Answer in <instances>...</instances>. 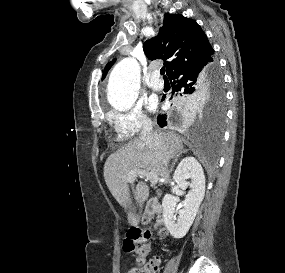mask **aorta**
<instances>
[{"label": "aorta", "instance_id": "762f6f07", "mask_svg": "<svg viewBox=\"0 0 285 273\" xmlns=\"http://www.w3.org/2000/svg\"><path fill=\"white\" fill-rule=\"evenodd\" d=\"M140 67L133 58L120 61L112 70L107 98L110 105L119 111L130 109L138 97Z\"/></svg>", "mask_w": 285, "mask_h": 273}]
</instances>
